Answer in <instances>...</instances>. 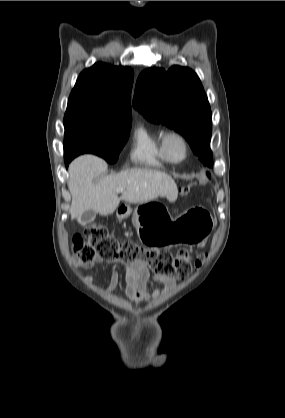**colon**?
Returning <instances> with one entry per match:
<instances>
[{"mask_svg":"<svg viewBox=\"0 0 285 418\" xmlns=\"http://www.w3.org/2000/svg\"><path fill=\"white\" fill-rule=\"evenodd\" d=\"M210 175L206 173L205 178ZM72 250L82 264L118 260L125 265L144 263L159 277L181 279L195 267L202 265L206 256L193 259L188 250L181 248L176 255L160 249L140 247L130 240H120L102 225H88L72 237Z\"/></svg>","mask_w":285,"mask_h":418,"instance_id":"obj_1","label":"colon"}]
</instances>
